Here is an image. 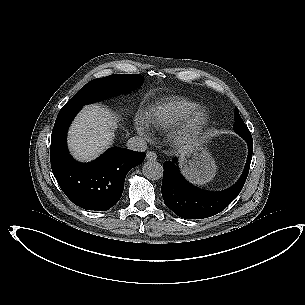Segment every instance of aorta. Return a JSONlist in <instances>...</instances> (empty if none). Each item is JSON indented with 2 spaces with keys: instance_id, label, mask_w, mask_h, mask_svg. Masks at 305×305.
I'll use <instances>...</instances> for the list:
<instances>
[{
  "instance_id": "762f6f07",
  "label": "aorta",
  "mask_w": 305,
  "mask_h": 305,
  "mask_svg": "<svg viewBox=\"0 0 305 305\" xmlns=\"http://www.w3.org/2000/svg\"><path fill=\"white\" fill-rule=\"evenodd\" d=\"M142 173L149 180H158L163 176V167L156 161H147L142 166Z\"/></svg>"
}]
</instances>
